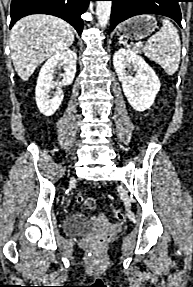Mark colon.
Here are the masks:
<instances>
[{
	"label": "colon",
	"instance_id": "1",
	"mask_svg": "<svg viewBox=\"0 0 193 287\" xmlns=\"http://www.w3.org/2000/svg\"><path fill=\"white\" fill-rule=\"evenodd\" d=\"M78 204H82L88 209H93L95 207V199L92 197H86L82 194H78L75 198ZM114 218L117 220H122L124 218V214L120 210H115L113 212Z\"/></svg>",
	"mask_w": 193,
	"mask_h": 287
}]
</instances>
